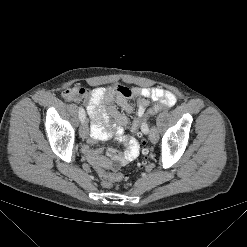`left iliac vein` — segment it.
I'll return each mask as SVG.
<instances>
[{
    "mask_svg": "<svg viewBox=\"0 0 247 247\" xmlns=\"http://www.w3.org/2000/svg\"><path fill=\"white\" fill-rule=\"evenodd\" d=\"M147 124H143V127H142V131L143 133H145V128H146ZM146 134V133H145ZM149 139L152 143H155L157 142V139H158V134H157V130L156 128H153L152 131L149 133Z\"/></svg>",
    "mask_w": 247,
    "mask_h": 247,
    "instance_id": "1",
    "label": "left iliac vein"
}]
</instances>
